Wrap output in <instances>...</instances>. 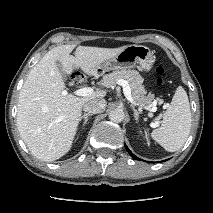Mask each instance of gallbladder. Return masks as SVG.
Here are the masks:
<instances>
[{
    "label": "gallbladder",
    "mask_w": 213,
    "mask_h": 213,
    "mask_svg": "<svg viewBox=\"0 0 213 213\" xmlns=\"http://www.w3.org/2000/svg\"><path fill=\"white\" fill-rule=\"evenodd\" d=\"M57 67H58V69H59V71H60L62 77L65 78V77H66V73L64 72L63 67H62V65L60 64V62H57Z\"/></svg>",
    "instance_id": "1"
}]
</instances>
